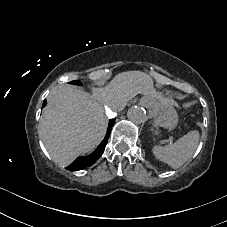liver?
Listing matches in <instances>:
<instances>
[{"mask_svg":"<svg viewBox=\"0 0 227 227\" xmlns=\"http://www.w3.org/2000/svg\"><path fill=\"white\" fill-rule=\"evenodd\" d=\"M138 93H155L152 78L140 71L116 75L105 88H94L93 95L70 84L54 87L39 123V133L52 160L66 164L92 151L107 129L103 106L114 108L113 100H128Z\"/></svg>","mask_w":227,"mask_h":227,"instance_id":"obj_1","label":"liver"}]
</instances>
